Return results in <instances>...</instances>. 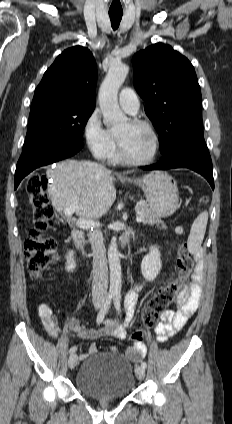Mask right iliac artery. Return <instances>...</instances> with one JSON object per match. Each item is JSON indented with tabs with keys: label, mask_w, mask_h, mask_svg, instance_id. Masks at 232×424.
I'll return each instance as SVG.
<instances>
[{
	"label": "right iliac artery",
	"mask_w": 232,
	"mask_h": 424,
	"mask_svg": "<svg viewBox=\"0 0 232 424\" xmlns=\"http://www.w3.org/2000/svg\"><path fill=\"white\" fill-rule=\"evenodd\" d=\"M113 296H114V294H112V293H108V295L106 296V299L104 301V304H103L100 312L97 315V319H96L97 324L102 323V321L104 320V317H105L106 312H107V310H108V308H109V306L111 304V301L113 299ZM76 350H77V347L76 346H73V347L70 348V351L69 352L72 354Z\"/></svg>",
	"instance_id": "right-iliac-artery-1"
}]
</instances>
